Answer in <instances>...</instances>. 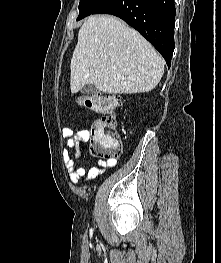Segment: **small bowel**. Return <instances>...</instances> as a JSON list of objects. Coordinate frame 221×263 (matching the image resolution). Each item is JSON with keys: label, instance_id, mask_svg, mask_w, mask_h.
Wrapping results in <instances>:
<instances>
[{"label": "small bowel", "instance_id": "c3829d8e", "mask_svg": "<svg viewBox=\"0 0 221 263\" xmlns=\"http://www.w3.org/2000/svg\"><path fill=\"white\" fill-rule=\"evenodd\" d=\"M61 134L66 140L64 155L66 156L71 182L78 183L81 179H84L86 182L92 181L102 175L106 168L116 166L117 161L109 159L107 161H99L98 166L77 167L75 161L83 157L80 145L88 142L89 132L85 129L74 131L70 128H63ZM69 151L73 152L74 160L69 157Z\"/></svg>", "mask_w": 221, "mask_h": 263}]
</instances>
